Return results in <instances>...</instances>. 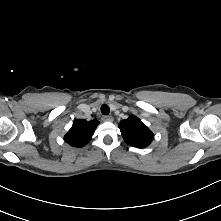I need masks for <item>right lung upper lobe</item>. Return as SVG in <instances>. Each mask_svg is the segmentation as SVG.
<instances>
[{
    "label": "right lung upper lobe",
    "mask_w": 221,
    "mask_h": 221,
    "mask_svg": "<svg viewBox=\"0 0 221 221\" xmlns=\"http://www.w3.org/2000/svg\"><path fill=\"white\" fill-rule=\"evenodd\" d=\"M98 124L97 120L79 119L74 121L71 129L64 136L65 142L73 147H83L91 140Z\"/></svg>",
    "instance_id": "right-lung-upper-lobe-1"
}]
</instances>
